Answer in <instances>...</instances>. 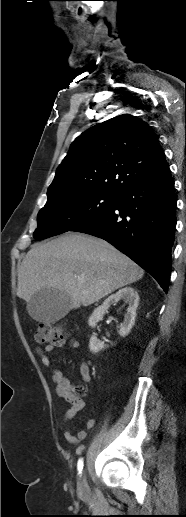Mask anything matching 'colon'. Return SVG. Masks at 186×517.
I'll return each mask as SVG.
<instances>
[{"label": "colon", "instance_id": "obj_1", "mask_svg": "<svg viewBox=\"0 0 186 517\" xmlns=\"http://www.w3.org/2000/svg\"><path fill=\"white\" fill-rule=\"evenodd\" d=\"M66 336L64 326H53L48 323H40L35 332V340L40 344H52L62 341ZM78 394L84 395L86 390L83 387L77 389Z\"/></svg>", "mask_w": 186, "mask_h": 517}]
</instances>
